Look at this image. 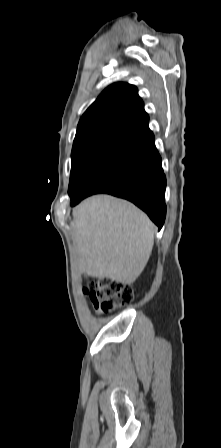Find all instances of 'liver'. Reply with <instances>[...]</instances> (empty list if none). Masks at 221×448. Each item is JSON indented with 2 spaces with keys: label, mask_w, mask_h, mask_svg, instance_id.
<instances>
[{
  "label": "liver",
  "mask_w": 221,
  "mask_h": 448,
  "mask_svg": "<svg viewBox=\"0 0 221 448\" xmlns=\"http://www.w3.org/2000/svg\"><path fill=\"white\" fill-rule=\"evenodd\" d=\"M74 243L81 272L123 285L144 270L154 245L155 226L132 203L92 196L73 210Z\"/></svg>",
  "instance_id": "6515ba94"
}]
</instances>
